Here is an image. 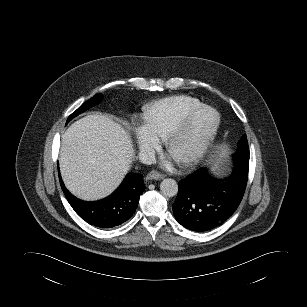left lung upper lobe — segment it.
Instances as JSON below:
<instances>
[{
  "label": "left lung upper lobe",
  "instance_id": "left-lung-upper-lobe-1",
  "mask_svg": "<svg viewBox=\"0 0 307 307\" xmlns=\"http://www.w3.org/2000/svg\"><path fill=\"white\" fill-rule=\"evenodd\" d=\"M238 147H239V149L235 153L234 156L249 159V147H248L246 135L242 136V138L238 142Z\"/></svg>",
  "mask_w": 307,
  "mask_h": 307
}]
</instances>
